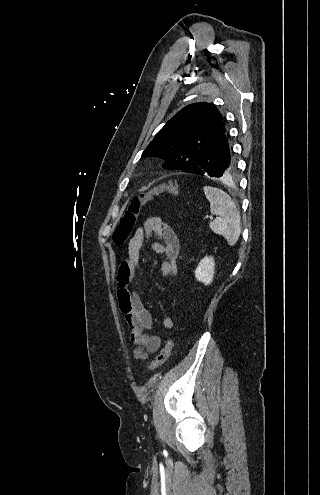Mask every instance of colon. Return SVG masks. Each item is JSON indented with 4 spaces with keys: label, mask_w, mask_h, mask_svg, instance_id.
Returning <instances> with one entry per match:
<instances>
[{
    "label": "colon",
    "mask_w": 320,
    "mask_h": 495,
    "mask_svg": "<svg viewBox=\"0 0 320 495\" xmlns=\"http://www.w3.org/2000/svg\"><path fill=\"white\" fill-rule=\"evenodd\" d=\"M161 193L178 195L180 193V188L176 183H162L152 188L150 191L133 198L129 203L127 211L125 212L124 216L121 218L119 224L113 232V241L115 244L123 245L127 241L142 206L146 202L151 200L154 196ZM173 346L174 337L171 336L167 339L165 345L163 346L155 360L150 364L149 370L151 372L155 371L166 362L172 352Z\"/></svg>",
    "instance_id": "colon-1"
}]
</instances>
